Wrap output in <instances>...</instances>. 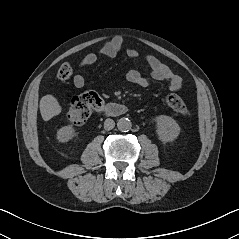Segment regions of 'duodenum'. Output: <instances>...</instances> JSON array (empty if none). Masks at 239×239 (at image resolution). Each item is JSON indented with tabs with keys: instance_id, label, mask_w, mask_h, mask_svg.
<instances>
[{
	"instance_id": "410a0bca",
	"label": "duodenum",
	"mask_w": 239,
	"mask_h": 239,
	"mask_svg": "<svg viewBox=\"0 0 239 239\" xmlns=\"http://www.w3.org/2000/svg\"><path fill=\"white\" fill-rule=\"evenodd\" d=\"M127 106L119 103H107L102 105L100 108V113L111 115V116H119L127 113Z\"/></svg>"
}]
</instances>
